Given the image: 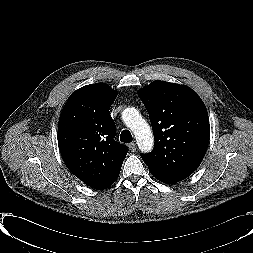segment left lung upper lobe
Returning a JSON list of instances; mask_svg holds the SVG:
<instances>
[{
	"mask_svg": "<svg viewBox=\"0 0 253 253\" xmlns=\"http://www.w3.org/2000/svg\"><path fill=\"white\" fill-rule=\"evenodd\" d=\"M155 138L150 154H141L149 171L192 174L209 143V119L201 98L191 88L154 81L138 91Z\"/></svg>",
	"mask_w": 253,
	"mask_h": 253,
	"instance_id": "obj_1",
	"label": "left lung upper lobe"
}]
</instances>
